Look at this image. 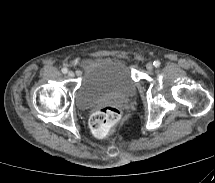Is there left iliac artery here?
I'll return each mask as SVG.
<instances>
[{"instance_id": "1", "label": "left iliac artery", "mask_w": 215, "mask_h": 183, "mask_svg": "<svg viewBox=\"0 0 215 183\" xmlns=\"http://www.w3.org/2000/svg\"><path fill=\"white\" fill-rule=\"evenodd\" d=\"M160 64H161V63H160L158 60H156V61L153 62V65H154L155 67H159Z\"/></svg>"}]
</instances>
